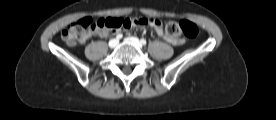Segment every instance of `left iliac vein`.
I'll return each instance as SVG.
<instances>
[{
  "instance_id": "1",
  "label": "left iliac vein",
  "mask_w": 276,
  "mask_h": 120,
  "mask_svg": "<svg viewBox=\"0 0 276 120\" xmlns=\"http://www.w3.org/2000/svg\"><path fill=\"white\" fill-rule=\"evenodd\" d=\"M125 42H127V43H129V44H133V45H135L136 47H138L139 49L142 48L141 42H140L139 39L136 38V37H127V38L125 39Z\"/></svg>"
}]
</instances>
